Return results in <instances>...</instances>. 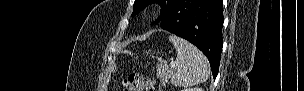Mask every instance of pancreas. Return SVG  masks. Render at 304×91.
I'll return each instance as SVG.
<instances>
[{
    "mask_svg": "<svg viewBox=\"0 0 304 91\" xmlns=\"http://www.w3.org/2000/svg\"><path fill=\"white\" fill-rule=\"evenodd\" d=\"M172 74H173L172 69L168 68L166 65L163 64L157 65L156 75L164 85L168 83V78H170Z\"/></svg>",
    "mask_w": 304,
    "mask_h": 91,
    "instance_id": "obj_1",
    "label": "pancreas"
}]
</instances>
